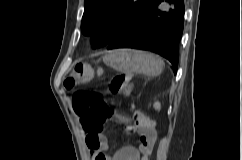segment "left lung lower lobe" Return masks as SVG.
<instances>
[{
	"mask_svg": "<svg viewBox=\"0 0 242 160\" xmlns=\"http://www.w3.org/2000/svg\"><path fill=\"white\" fill-rule=\"evenodd\" d=\"M183 0H150L134 23L107 49L135 48L160 54L177 71L178 45L183 32Z\"/></svg>",
	"mask_w": 242,
	"mask_h": 160,
	"instance_id": "obj_1",
	"label": "left lung lower lobe"
}]
</instances>
